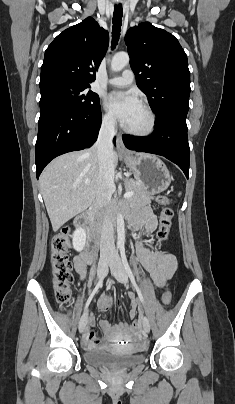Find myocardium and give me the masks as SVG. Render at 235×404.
I'll return each instance as SVG.
<instances>
[{
    "mask_svg": "<svg viewBox=\"0 0 235 404\" xmlns=\"http://www.w3.org/2000/svg\"><path fill=\"white\" fill-rule=\"evenodd\" d=\"M140 106L143 108L147 115V123L146 126L142 129H133L126 125H123V130L134 137H147L150 136L156 127V116L152 108L145 102H141Z\"/></svg>",
    "mask_w": 235,
    "mask_h": 404,
    "instance_id": "myocardium-1",
    "label": "myocardium"
}]
</instances>
